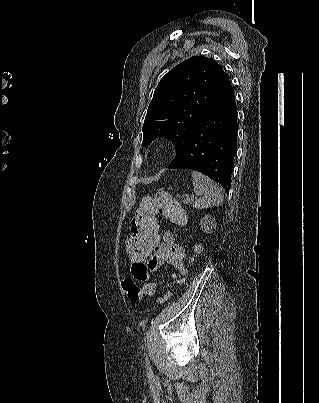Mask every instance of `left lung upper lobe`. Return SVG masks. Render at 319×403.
Segmentation results:
<instances>
[{
    "label": "left lung upper lobe",
    "mask_w": 319,
    "mask_h": 403,
    "mask_svg": "<svg viewBox=\"0 0 319 403\" xmlns=\"http://www.w3.org/2000/svg\"><path fill=\"white\" fill-rule=\"evenodd\" d=\"M228 80V74L210 58L194 56L175 66L155 89L142 128V145L165 136L179 155Z\"/></svg>",
    "instance_id": "left-lung-upper-lobe-1"
}]
</instances>
